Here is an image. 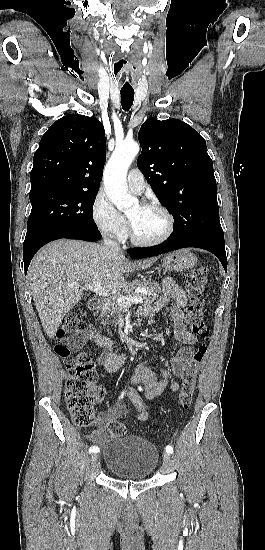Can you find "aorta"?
<instances>
[{
	"instance_id": "1",
	"label": "aorta",
	"mask_w": 265,
	"mask_h": 550,
	"mask_svg": "<svg viewBox=\"0 0 265 550\" xmlns=\"http://www.w3.org/2000/svg\"><path fill=\"white\" fill-rule=\"evenodd\" d=\"M139 149L136 142L117 145L104 170L106 194L120 211H125L137 203V199L127 191L126 175Z\"/></svg>"
}]
</instances>
